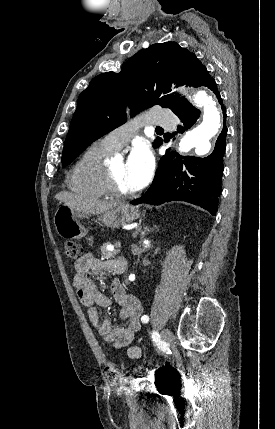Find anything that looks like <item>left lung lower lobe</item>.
I'll return each instance as SVG.
<instances>
[{
	"label": "left lung lower lobe",
	"mask_w": 275,
	"mask_h": 429,
	"mask_svg": "<svg viewBox=\"0 0 275 429\" xmlns=\"http://www.w3.org/2000/svg\"><path fill=\"white\" fill-rule=\"evenodd\" d=\"M199 86H206L213 90L219 98L224 116H226L216 82L209 75L206 67H203L199 73L196 87ZM174 113L181 122L177 128L179 133L191 128L200 115V111L189 102L179 107ZM226 133L227 128L224 124L214 151L205 158L181 156L176 152L167 153L159 162L150 188L141 198L133 200L131 203L133 205L141 203L160 205L170 201H186L208 209L212 215H216L224 169Z\"/></svg>",
	"instance_id": "0a47b994"
}]
</instances>
